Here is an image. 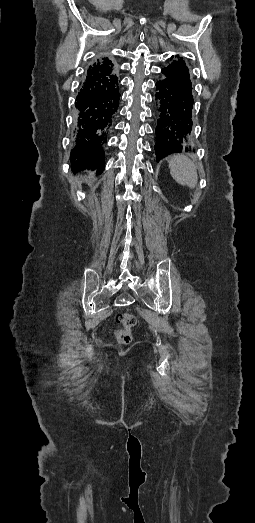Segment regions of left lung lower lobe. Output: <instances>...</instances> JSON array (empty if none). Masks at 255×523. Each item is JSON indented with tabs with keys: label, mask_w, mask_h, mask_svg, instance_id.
I'll use <instances>...</instances> for the list:
<instances>
[{
	"label": "left lung lower lobe",
	"mask_w": 255,
	"mask_h": 523,
	"mask_svg": "<svg viewBox=\"0 0 255 523\" xmlns=\"http://www.w3.org/2000/svg\"><path fill=\"white\" fill-rule=\"evenodd\" d=\"M174 77L162 76L156 80L155 88L159 109L158 124L154 133L158 135L153 141L155 153L153 160L163 161L167 154L191 151L194 148L190 137L194 135L192 109L197 107L193 102L191 90L183 85H173ZM179 107V109H178Z\"/></svg>",
	"instance_id": "left-lung-lower-lobe-1"
}]
</instances>
